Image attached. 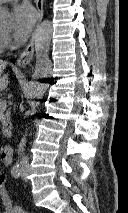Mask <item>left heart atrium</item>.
Returning <instances> with one entry per match:
<instances>
[{"mask_svg": "<svg viewBox=\"0 0 128 213\" xmlns=\"http://www.w3.org/2000/svg\"><path fill=\"white\" fill-rule=\"evenodd\" d=\"M36 21L33 8L24 3L16 5L13 9V34L17 41L22 42L29 36Z\"/></svg>", "mask_w": 128, "mask_h": 213, "instance_id": "left-heart-atrium-1", "label": "left heart atrium"}]
</instances>
